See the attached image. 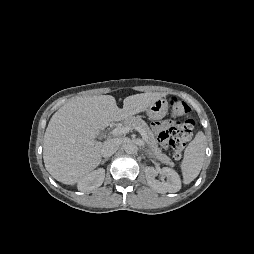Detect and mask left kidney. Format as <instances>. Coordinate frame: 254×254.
<instances>
[{
	"mask_svg": "<svg viewBox=\"0 0 254 254\" xmlns=\"http://www.w3.org/2000/svg\"><path fill=\"white\" fill-rule=\"evenodd\" d=\"M162 173L167 177V181H158L155 179L156 170L154 167H146L145 175L148 185L158 193H174L180 190L181 180L178 173L168 167L162 169Z\"/></svg>",
	"mask_w": 254,
	"mask_h": 254,
	"instance_id": "1",
	"label": "left kidney"
}]
</instances>
